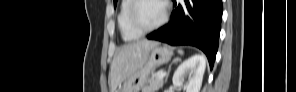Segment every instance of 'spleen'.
Wrapping results in <instances>:
<instances>
[{"label":"spleen","mask_w":296,"mask_h":92,"mask_svg":"<svg viewBox=\"0 0 296 92\" xmlns=\"http://www.w3.org/2000/svg\"><path fill=\"white\" fill-rule=\"evenodd\" d=\"M178 53L182 55L183 54V51L179 49L178 50Z\"/></svg>","instance_id":"3e777b00"}]
</instances>
